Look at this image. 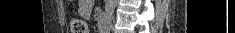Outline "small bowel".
Instances as JSON below:
<instances>
[{
    "instance_id": "small-bowel-1",
    "label": "small bowel",
    "mask_w": 235,
    "mask_h": 33,
    "mask_svg": "<svg viewBox=\"0 0 235 33\" xmlns=\"http://www.w3.org/2000/svg\"><path fill=\"white\" fill-rule=\"evenodd\" d=\"M88 5H86V3L83 5V6H81V10L82 11H85L88 7H87Z\"/></svg>"
}]
</instances>
